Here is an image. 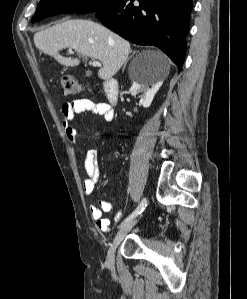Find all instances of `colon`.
Returning <instances> with one entry per match:
<instances>
[{
    "mask_svg": "<svg viewBox=\"0 0 247 299\" xmlns=\"http://www.w3.org/2000/svg\"><path fill=\"white\" fill-rule=\"evenodd\" d=\"M61 86L65 94H78L83 90L82 86L69 74L62 75Z\"/></svg>",
    "mask_w": 247,
    "mask_h": 299,
    "instance_id": "obj_1",
    "label": "colon"
}]
</instances>
